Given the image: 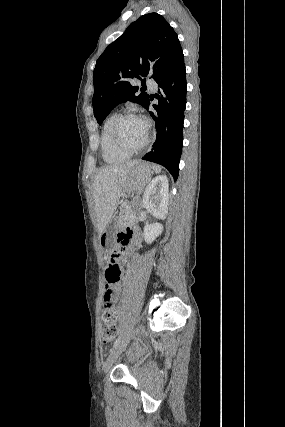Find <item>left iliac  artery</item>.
I'll list each match as a JSON object with an SVG mask.
<instances>
[{
	"mask_svg": "<svg viewBox=\"0 0 285 427\" xmlns=\"http://www.w3.org/2000/svg\"><path fill=\"white\" fill-rule=\"evenodd\" d=\"M120 342H121V337L119 336V337L115 340L114 345H113V348H114V347H116Z\"/></svg>",
	"mask_w": 285,
	"mask_h": 427,
	"instance_id": "44dca946",
	"label": "left iliac artery"
}]
</instances>
